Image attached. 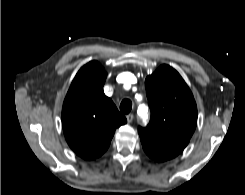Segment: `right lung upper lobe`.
I'll return each mask as SVG.
<instances>
[{"mask_svg":"<svg viewBox=\"0 0 245 195\" xmlns=\"http://www.w3.org/2000/svg\"><path fill=\"white\" fill-rule=\"evenodd\" d=\"M106 72L97 62L76 74L62 109V126L70 148L85 160H94L109 147L115 129L127 122L103 92Z\"/></svg>","mask_w":245,"mask_h":195,"instance_id":"1","label":"right lung upper lobe"}]
</instances>
